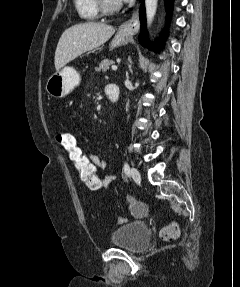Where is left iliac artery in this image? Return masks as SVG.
<instances>
[{
  "instance_id": "left-iliac-artery-1",
  "label": "left iliac artery",
  "mask_w": 240,
  "mask_h": 287,
  "mask_svg": "<svg viewBox=\"0 0 240 287\" xmlns=\"http://www.w3.org/2000/svg\"><path fill=\"white\" fill-rule=\"evenodd\" d=\"M124 172H125V174L127 176H129V174H130V167H129L128 163L124 164Z\"/></svg>"
}]
</instances>
